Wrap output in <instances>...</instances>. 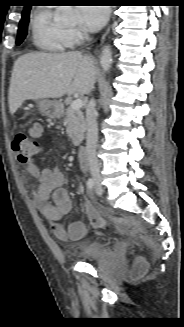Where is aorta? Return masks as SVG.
Segmentation results:
<instances>
[{
	"label": "aorta",
	"instance_id": "762f6f07",
	"mask_svg": "<svg viewBox=\"0 0 184 327\" xmlns=\"http://www.w3.org/2000/svg\"><path fill=\"white\" fill-rule=\"evenodd\" d=\"M68 15L69 14L65 13L64 16H68ZM112 62H113V59H112L111 48H110V46L106 45L103 47L101 56H100V65H101L102 69L104 70V72L109 71Z\"/></svg>",
	"mask_w": 184,
	"mask_h": 327
}]
</instances>
